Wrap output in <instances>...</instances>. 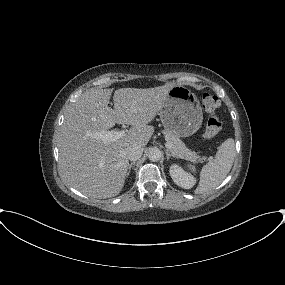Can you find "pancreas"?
<instances>
[{
	"label": "pancreas",
	"mask_w": 285,
	"mask_h": 285,
	"mask_svg": "<svg viewBox=\"0 0 285 285\" xmlns=\"http://www.w3.org/2000/svg\"><path fill=\"white\" fill-rule=\"evenodd\" d=\"M164 134L166 141L172 145L169 151L174 156L192 162H195L199 158V156L195 152L189 150L186 147V145L180 140V138L176 134L170 131H165Z\"/></svg>",
	"instance_id": "pancreas-1"
}]
</instances>
